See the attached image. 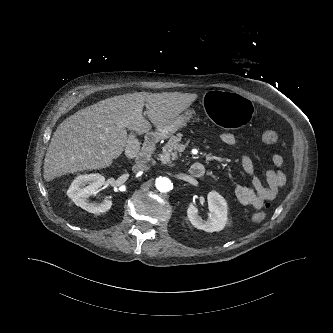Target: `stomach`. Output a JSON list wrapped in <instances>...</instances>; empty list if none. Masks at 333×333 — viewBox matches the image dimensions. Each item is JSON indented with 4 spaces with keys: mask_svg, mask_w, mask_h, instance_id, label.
<instances>
[{
    "mask_svg": "<svg viewBox=\"0 0 333 333\" xmlns=\"http://www.w3.org/2000/svg\"><path fill=\"white\" fill-rule=\"evenodd\" d=\"M202 111L211 122L225 129L241 128L247 125L253 116L250 101L241 95H231L223 89L208 92L202 101ZM193 112L187 110L168 124L157 127L156 134L168 138L182 129L192 118Z\"/></svg>",
    "mask_w": 333,
    "mask_h": 333,
    "instance_id": "stomach-1",
    "label": "stomach"
}]
</instances>
